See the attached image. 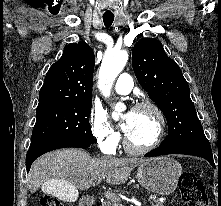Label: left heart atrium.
<instances>
[{
  "instance_id": "obj_1",
  "label": "left heart atrium",
  "mask_w": 221,
  "mask_h": 206,
  "mask_svg": "<svg viewBox=\"0 0 221 206\" xmlns=\"http://www.w3.org/2000/svg\"><path fill=\"white\" fill-rule=\"evenodd\" d=\"M131 113H132V112L126 113V115H125V117H124V120H123V122H122V124H121V128L123 129V131H124L125 133L128 132L129 127H130V117H131Z\"/></svg>"
}]
</instances>
